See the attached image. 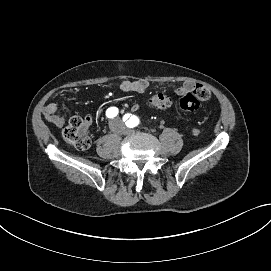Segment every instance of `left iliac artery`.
Returning <instances> with one entry per match:
<instances>
[{
    "label": "left iliac artery",
    "mask_w": 271,
    "mask_h": 271,
    "mask_svg": "<svg viewBox=\"0 0 271 271\" xmlns=\"http://www.w3.org/2000/svg\"><path fill=\"white\" fill-rule=\"evenodd\" d=\"M123 122L125 125H127L130 128H133L138 124L137 118L135 116L130 115V114H127L123 117Z\"/></svg>",
    "instance_id": "1"
}]
</instances>
